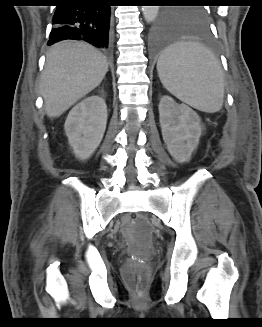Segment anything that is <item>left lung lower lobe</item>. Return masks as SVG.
Masks as SVG:
<instances>
[{
	"instance_id": "left-lung-lower-lobe-1",
	"label": "left lung lower lobe",
	"mask_w": 262,
	"mask_h": 327,
	"mask_svg": "<svg viewBox=\"0 0 262 327\" xmlns=\"http://www.w3.org/2000/svg\"><path fill=\"white\" fill-rule=\"evenodd\" d=\"M176 25L171 24L168 20L163 17L160 21L152 28L149 34V49L152 53H158L165 51L168 47L173 45L176 41ZM199 36L206 39L209 38L208 28L200 27Z\"/></svg>"
}]
</instances>
